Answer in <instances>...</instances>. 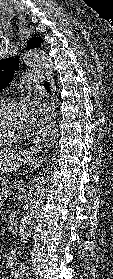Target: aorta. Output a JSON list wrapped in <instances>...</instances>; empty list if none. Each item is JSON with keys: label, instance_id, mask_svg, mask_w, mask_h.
Segmentation results:
<instances>
[{"label": "aorta", "instance_id": "762f6f07", "mask_svg": "<svg viewBox=\"0 0 113 279\" xmlns=\"http://www.w3.org/2000/svg\"><path fill=\"white\" fill-rule=\"evenodd\" d=\"M24 63L29 67H43L50 69L52 63L50 57L44 49L34 48L28 50L23 56ZM60 135V130L55 123H51L42 128L40 136L37 139L38 146L41 148H50L53 146ZM45 194V183L43 177H35L28 194V202L19 226V240L23 247L30 237L32 229L37 222L40 210L43 204ZM24 264L21 263L20 267Z\"/></svg>", "mask_w": 113, "mask_h": 279}]
</instances>
